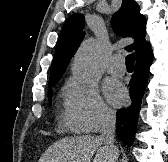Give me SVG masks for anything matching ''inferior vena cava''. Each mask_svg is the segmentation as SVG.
<instances>
[{
	"instance_id": "inferior-vena-cava-1",
	"label": "inferior vena cava",
	"mask_w": 168,
	"mask_h": 162,
	"mask_svg": "<svg viewBox=\"0 0 168 162\" xmlns=\"http://www.w3.org/2000/svg\"><path fill=\"white\" fill-rule=\"evenodd\" d=\"M116 114L114 111L107 109L103 112L101 121L100 139L104 145L113 153L114 158L118 156V148L114 144Z\"/></svg>"
}]
</instances>
